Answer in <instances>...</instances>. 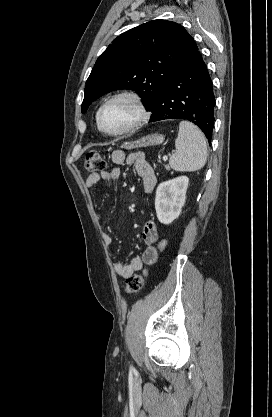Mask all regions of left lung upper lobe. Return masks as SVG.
Listing matches in <instances>:
<instances>
[{
	"label": "left lung upper lobe",
	"mask_w": 272,
	"mask_h": 417,
	"mask_svg": "<svg viewBox=\"0 0 272 417\" xmlns=\"http://www.w3.org/2000/svg\"><path fill=\"white\" fill-rule=\"evenodd\" d=\"M197 51L192 36L171 21L153 20L121 34L97 59L86 81L82 112L117 89L138 91L152 111L158 95Z\"/></svg>",
	"instance_id": "1"
}]
</instances>
